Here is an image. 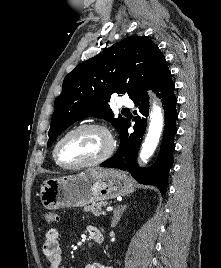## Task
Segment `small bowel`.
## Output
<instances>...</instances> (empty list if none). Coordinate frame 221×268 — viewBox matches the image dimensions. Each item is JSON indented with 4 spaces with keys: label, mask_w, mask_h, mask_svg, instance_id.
Returning a JSON list of instances; mask_svg holds the SVG:
<instances>
[{
    "label": "small bowel",
    "mask_w": 221,
    "mask_h": 268,
    "mask_svg": "<svg viewBox=\"0 0 221 268\" xmlns=\"http://www.w3.org/2000/svg\"><path fill=\"white\" fill-rule=\"evenodd\" d=\"M100 231L97 227L87 226V232L92 239L94 233ZM42 252L48 261L49 268H63L61 266L62 249L60 244V235L57 229L50 228L45 232ZM84 268H113L101 263L87 264Z\"/></svg>",
    "instance_id": "obj_1"
}]
</instances>
